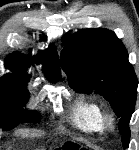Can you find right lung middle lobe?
<instances>
[{"instance_id":"right-lung-middle-lobe-1","label":"right lung middle lobe","mask_w":139,"mask_h":150,"mask_svg":"<svg viewBox=\"0 0 139 150\" xmlns=\"http://www.w3.org/2000/svg\"><path fill=\"white\" fill-rule=\"evenodd\" d=\"M28 77L6 74L0 78V128L13 129L21 122H39L37 112H24L29 98Z\"/></svg>"}]
</instances>
